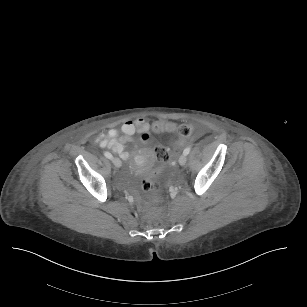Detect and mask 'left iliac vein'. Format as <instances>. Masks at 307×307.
Returning a JSON list of instances; mask_svg holds the SVG:
<instances>
[{
  "label": "left iliac vein",
  "mask_w": 307,
  "mask_h": 307,
  "mask_svg": "<svg viewBox=\"0 0 307 307\" xmlns=\"http://www.w3.org/2000/svg\"><path fill=\"white\" fill-rule=\"evenodd\" d=\"M187 162V156L185 154L181 155L179 157V160H178V163L181 165V166H184Z\"/></svg>",
  "instance_id": "obj_1"
}]
</instances>
